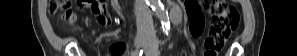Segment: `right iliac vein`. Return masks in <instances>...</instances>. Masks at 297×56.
I'll use <instances>...</instances> for the list:
<instances>
[{
	"label": "right iliac vein",
	"instance_id": "63e3f726",
	"mask_svg": "<svg viewBox=\"0 0 297 56\" xmlns=\"http://www.w3.org/2000/svg\"><path fill=\"white\" fill-rule=\"evenodd\" d=\"M148 39L145 36H138L135 40V47L138 49L148 43Z\"/></svg>",
	"mask_w": 297,
	"mask_h": 56
}]
</instances>
